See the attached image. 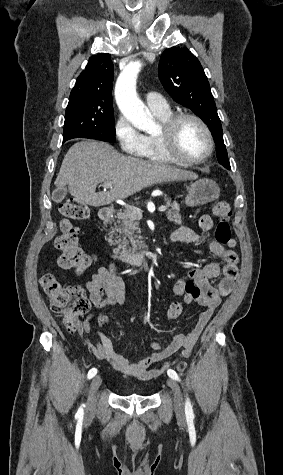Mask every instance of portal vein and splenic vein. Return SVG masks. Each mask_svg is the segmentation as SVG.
<instances>
[{"mask_svg": "<svg viewBox=\"0 0 283 475\" xmlns=\"http://www.w3.org/2000/svg\"><path fill=\"white\" fill-rule=\"evenodd\" d=\"M104 188H113V182H104L103 184ZM167 210L166 206H160L159 212H165ZM137 214H141V210L139 208H136Z\"/></svg>", "mask_w": 283, "mask_h": 475, "instance_id": "1", "label": "portal vein and splenic vein"}]
</instances>
